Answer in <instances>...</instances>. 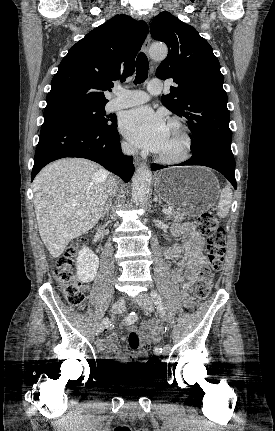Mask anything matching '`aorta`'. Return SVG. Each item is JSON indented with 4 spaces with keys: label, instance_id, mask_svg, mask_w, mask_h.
I'll use <instances>...</instances> for the list:
<instances>
[{
    "label": "aorta",
    "instance_id": "1",
    "mask_svg": "<svg viewBox=\"0 0 275 431\" xmlns=\"http://www.w3.org/2000/svg\"><path fill=\"white\" fill-rule=\"evenodd\" d=\"M168 50L164 45H152L149 50L150 57L154 60H164ZM152 173L147 165L137 168L132 179V199L137 205H143L151 191Z\"/></svg>",
    "mask_w": 275,
    "mask_h": 431
}]
</instances>
